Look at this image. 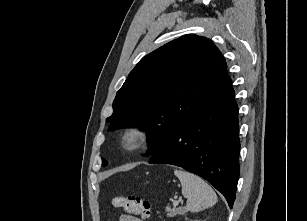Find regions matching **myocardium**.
Here are the masks:
<instances>
[{"instance_id":"myocardium-1","label":"myocardium","mask_w":307,"mask_h":221,"mask_svg":"<svg viewBox=\"0 0 307 221\" xmlns=\"http://www.w3.org/2000/svg\"><path fill=\"white\" fill-rule=\"evenodd\" d=\"M148 135V129L145 125H130L122 133L120 145L128 153L137 152L145 145Z\"/></svg>"}]
</instances>
